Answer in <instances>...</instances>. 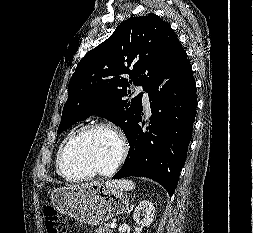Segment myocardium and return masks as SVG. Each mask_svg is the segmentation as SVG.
Returning a JSON list of instances; mask_svg holds the SVG:
<instances>
[{
	"label": "myocardium",
	"instance_id": "1",
	"mask_svg": "<svg viewBox=\"0 0 253 233\" xmlns=\"http://www.w3.org/2000/svg\"><path fill=\"white\" fill-rule=\"evenodd\" d=\"M94 130H106V131H109L115 135V137L117 138V140L119 142V153H118L117 159L115 160L113 165L109 169H106V170H93V171H90V172H88L84 175H80V176H70V175L66 174V172H65V158H66V154H67L69 148L82 135H84L87 132L94 131ZM128 151H129L128 140H127L124 132L118 126L111 124V123H107V122L90 123V124H87V125L81 127L80 129H78L66 141V143L60 153V157H59V172H60V175L64 179H66L70 182H79V181L93 178L95 176H111L124 163V161L127 158Z\"/></svg>",
	"mask_w": 253,
	"mask_h": 233
}]
</instances>
